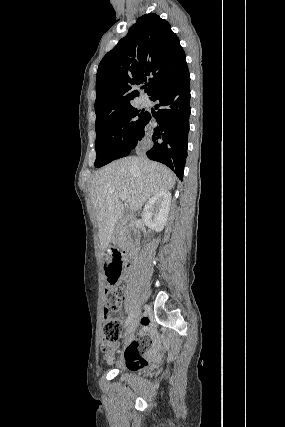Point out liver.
<instances>
[{"label": "liver", "instance_id": "1", "mask_svg": "<svg viewBox=\"0 0 285 427\" xmlns=\"http://www.w3.org/2000/svg\"><path fill=\"white\" fill-rule=\"evenodd\" d=\"M175 174L144 155L129 156L100 169L90 186V197L98 223L100 246L105 251L118 220L124 213L119 194L126 196L131 211L139 210L151 196L174 187Z\"/></svg>", "mask_w": 285, "mask_h": 427}]
</instances>
